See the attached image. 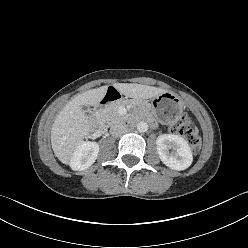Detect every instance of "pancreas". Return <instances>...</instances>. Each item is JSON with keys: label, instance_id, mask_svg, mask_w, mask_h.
<instances>
[{"label": "pancreas", "instance_id": "pancreas-1", "mask_svg": "<svg viewBox=\"0 0 248 248\" xmlns=\"http://www.w3.org/2000/svg\"><path fill=\"white\" fill-rule=\"evenodd\" d=\"M126 103H121L118 105H114V106H109L107 108L104 109L103 111V115H104V120L106 123H108L109 125L118 122L120 120H123L124 117L121 116L118 112V108L120 106H124Z\"/></svg>", "mask_w": 248, "mask_h": 248}]
</instances>
